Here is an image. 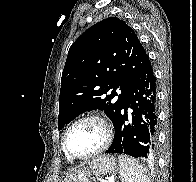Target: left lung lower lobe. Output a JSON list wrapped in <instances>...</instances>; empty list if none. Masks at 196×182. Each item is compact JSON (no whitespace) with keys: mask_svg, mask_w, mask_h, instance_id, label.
<instances>
[{"mask_svg":"<svg viewBox=\"0 0 196 182\" xmlns=\"http://www.w3.org/2000/svg\"><path fill=\"white\" fill-rule=\"evenodd\" d=\"M157 111L156 77L148 63L122 103L114 124V140L106 153L153 159L157 146Z\"/></svg>","mask_w":196,"mask_h":182,"instance_id":"1","label":"left lung lower lobe"}]
</instances>
